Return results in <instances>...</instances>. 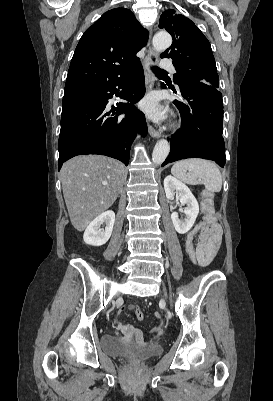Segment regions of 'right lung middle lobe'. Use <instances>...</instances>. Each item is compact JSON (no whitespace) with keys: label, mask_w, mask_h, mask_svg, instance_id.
Returning <instances> with one entry per match:
<instances>
[{"label":"right lung middle lobe","mask_w":273,"mask_h":401,"mask_svg":"<svg viewBox=\"0 0 273 401\" xmlns=\"http://www.w3.org/2000/svg\"><path fill=\"white\" fill-rule=\"evenodd\" d=\"M74 97H66V98H63V103L64 102H67V101H69V100H71V99H73Z\"/></svg>","instance_id":"right-lung-middle-lobe-1"}]
</instances>
